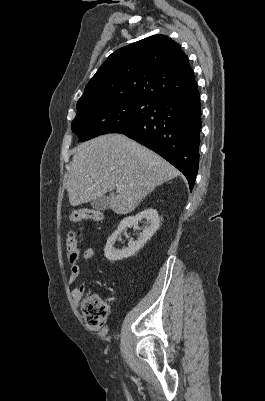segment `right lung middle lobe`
Masks as SVG:
<instances>
[{
    "instance_id": "right-lung-middle-lobe-1",
    "label": "right lung middle lobe",
    "mask_w": 265,
    "mask_h": 401,
    "mask_svg": "<svg viewBox=\"0 0 265 401\" xmlns=\"http://www.w3.org/2000/svg\"><path fill=\"white\" fill-rule=\"evenodd\" d=\"M157 101L144 98H102L77 106L72 131L80 141L113 133L151 115Z\"/></svg>"
}]
</instances>
